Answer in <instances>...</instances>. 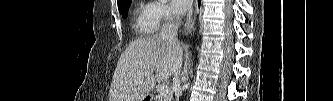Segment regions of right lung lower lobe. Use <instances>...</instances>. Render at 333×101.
<instances>
[{
  "instance_id": "98d812e1",
  "label": "right lung lower lobe",
  "mask_w": 333,
  "mask_h": 101,
  "mask_svg": "<svg viewBox=\"0 0 333 101\" xmlns=\"http://www.w3.org/2000/svg\"><path fill=\"white\" fill-rule=\"evenodd\" d=\"M201 0H199V6H200Z\"/></svg>"
}]
</instances>
